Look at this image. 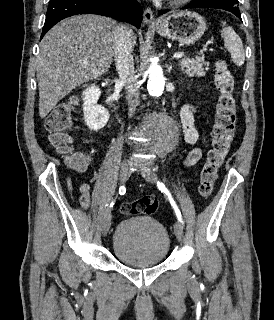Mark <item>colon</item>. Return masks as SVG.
<instances>
[{
  "mask_svg": "<svg viewBox=\"0 0 274 320\" xmlns=\"http://www.w3.org/2000/svg\"><path fill=\"white\" fill-rule=\"evenodd\" d=\"M215 85L220 95L211 132V148L202 168L198 185V193L202 199L210 197L217 172L232 146L237 131V107L233 96L234 79L233 74L224 63H218L216 66ZM70 112L71 110L66 105L55 107L48 115L45 127L52 146L59 153L66 155L73 169L81 170L85 167V157L71 151L73 137L68 130L71 127L73 116ZM68 188L72 189L70 181ZM157 207L158 203L154 198L143 197L136 201L123 203L120 206V212L126 216L153 215Z\"/></svg>",
  "mask_w": 274,
  "mask_h": 320,
  "instance_id": "1",
  "label": "colon"
}]
</instances>
